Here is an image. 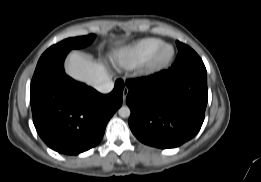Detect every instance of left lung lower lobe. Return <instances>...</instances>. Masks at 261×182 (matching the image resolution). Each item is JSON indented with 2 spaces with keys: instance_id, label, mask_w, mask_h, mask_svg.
Listing matches in <instances>:
<instances>
[{
  "instance_id": "left-lung-lower-lobe-1",
  "label": "left lung lower lobe",
  "mask_w": 261,
  "mask_h": 182,
  "mask_svg": "<svg viewBox=\"0 0 261 182\" xmlns=\"http://www.w3.org/2000/svg\"><path fill=\"white\" fill-rule=\"evenodd\" d=\"M126 84L128 123L142 143L175 148L200 130L208 99L206 68L168 69Z\"/></svg>"
}]
</instances>
